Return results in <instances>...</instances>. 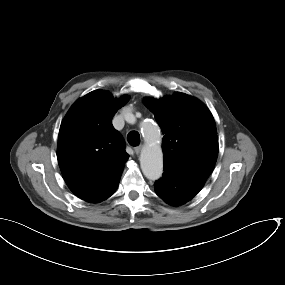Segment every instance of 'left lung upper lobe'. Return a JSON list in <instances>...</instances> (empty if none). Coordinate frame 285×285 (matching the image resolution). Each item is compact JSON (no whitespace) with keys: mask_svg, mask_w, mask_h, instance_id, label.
Instances as JSON below:
<instances>
[{"mask_svg":"<svg viewBox=\"0 0 285 285\" xmlns=\"http://www.w3.org/2000/svg\"><path fill=\"white\" fill-rule=\"evenodd\" d=\"M145 104L164 134V169L205 183L218 155L216 125L209 109L179 92L163 99L148 98Z\"/></svg>","mask_w":285,"mask_h":285,"instance_id":"left-lung-upper-lobe-1","label":"left lung upper lobe"}]
</instances>
